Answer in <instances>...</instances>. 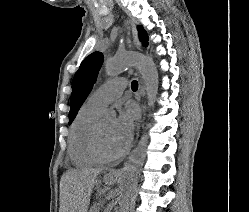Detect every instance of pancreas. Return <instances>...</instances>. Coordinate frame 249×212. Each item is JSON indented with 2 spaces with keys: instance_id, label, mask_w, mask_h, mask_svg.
Returning a JSON list of instances; mask_svg holds the SVG:
<instances>
[{
  "instance_id": "cf45deb5",
  "label": "pancreas",
  "mask_w": 249,
  "mask_h": 212,
  "mask_svg": "<svg viewBox=\"0 0 249 212\" xmlns=\"http://www.w3.org/2000/svg\"><path fill=\"white\" fill-rule=\"evenodd\" d=\"M94 210H96V208H92L91 212H94Z\"/></svg>"
}]
</instances>
